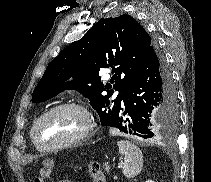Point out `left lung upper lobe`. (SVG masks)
I'll return each instance as SVG.
<instances>
[{
	"label": "left lung upper lobe",
	"instance_id": "5c2ea615",
	"mask_svg": "<svg viewBox=\"0 0 211 182\" xmlns=\"http://www.w3.org/2000/svg\"><path fill=\"white\" fill-rule=\"evenodd\" d=\"M153 45L133 17L101 18L51 61L33 91L32 101L42 102L64 89H74L90 100L102 125L115 127L124 91ZM101 68L112 69L113 75L105 85L100 81ZM71 77L73 80L66 82ZM113 89L121 93L115 100L110 99ZM104 91L107 95H102Z\"/></svg>",
	"mask_w": 211,
	"mask_h": 182
}]
</instances>
